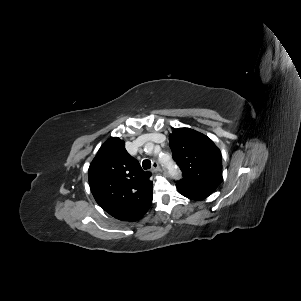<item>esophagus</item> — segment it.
I'll return each mask as SVG.
<instances>
[{
    "label": "esophagus",
    "mask_w": 301,
    "mask_h": 301,
    "mask_svg": "<svg viewBox=\"0 0 301 301\" xmlns=\"http://www.w3.org/2000/svg\"><path fill=\"white\" fill-rule=\"evenodd\" d=\"M161 170L160 165L157 161L152 162V172L157 173Z\"/></svg>",
    "instance_id": "obj_1"
}]
</instances>
